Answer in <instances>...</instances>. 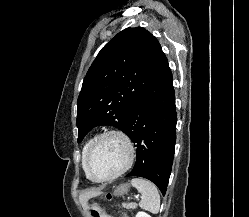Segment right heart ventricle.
<instances>
[{"instance_id":"right-heart-ventricle-1","label":"right heart ventricle","mask_w":249,"mask_h":217,"mask_svg":"<svg viewBox=\"0 0 249 217\" xmlns=\"http://www.w3.org/2000/svg\"><path fill=\"white\" fill-rule=\"evenodd\" d=\"M92 140H93V139H91V138L88 139V140L85 142V144L83 145V148H82L81 163H82V168L84 169V171H85V167H84L85 155H86V152H87L88 147H89V145H90V143H91ZM85 173H86V171H85ZM86 175H87V174H86ZM87 178L90 179V178L88 177V175H87Z\"/></svg>"}]
</instances>
